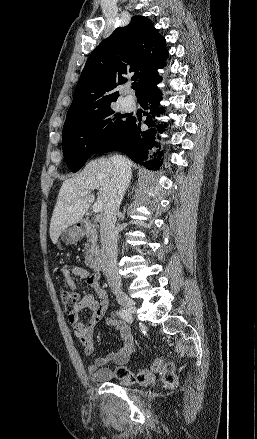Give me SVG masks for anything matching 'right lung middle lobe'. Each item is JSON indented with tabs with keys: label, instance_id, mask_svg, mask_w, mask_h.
I'll use <instances>...</instances> for the list:
<instances>
[{
	"label": "right lung middle lobe",
	"instance_id": "right-lung-middle-lobe-1",
	"mask_svg": "<svg viewBox=\"0 0 257 439\" xmlns=\"http://www.w3.org/2000/svg\"><path fill=\"white\" fill-rule=\"evenodd\" d=\"M122 118L108 106L65 122L62 148L69 169L78 171L99 147L117 137L130 120Z\"/></svg>",
	"mask_w": 257,
	"mask_h": 439
}]
</instances>
